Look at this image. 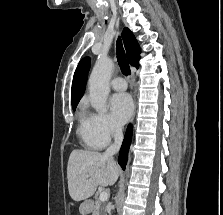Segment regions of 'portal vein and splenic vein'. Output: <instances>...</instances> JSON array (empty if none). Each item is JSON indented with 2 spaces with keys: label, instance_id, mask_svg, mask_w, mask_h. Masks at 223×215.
<instances>
[{
  "label": "portal vein and splenic vein",
  "instance_id": "portal-vein-and-splenic-vein-1",
  "mask_svg": "<svg viewBox=\"0 0 223 215\" xmlns=\"http://www.w3.org/2000/svg\"><path fill=\"white\" fill-rule=\"evenodd\" d=\"M108 197H109V191H101V193L99 195L100 201H106V199H108Z\"/></svg>",
  "mask_w": 223,
  "mask_h": 215
}]
</instances>
